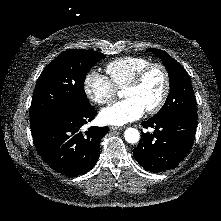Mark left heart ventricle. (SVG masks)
Returning a JSON list of instances; mask_svg holds the SVG:
<instances>
[{"label": "left heart ventricle", "mask_w": 221, "mask_h": 221, "mask_svg": "<svg viewBox=\"0 0 221 221\" xmlns=\"http://www.w3.org/2000/svg\"><path fill=\"white\" fill-rule=\"evenodd\" d=\"M163 87L164 78L162 72L159 69H153L146 75L139 86L124 89V96L136 99L146 110L158 102Z\"/></svg>", "instance_id": "left-heart-ventricle-1"}]
</instances>
